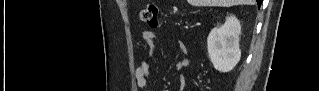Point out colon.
Instances as JSON below:
<instances>
[{"label": "colon", "instance_id": "colon-1", "mask_svg": "<svg viewBox=\"0 0 319 91\" xmlns=\"http://www.w3.org/2000/svg\"><path fill=\"white\" fill-rule=\"evenodd\" d=\"M157 13V5H155L154 3H149L140 10L139 19L142 22L148 24L150 27L156 28L158 26Z\"/></svg>", "mask_w": 319, "mask_h": 91}]
</instances>
